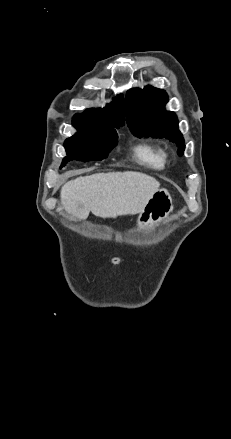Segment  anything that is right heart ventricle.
<instances>
[{
    "mask_svg": "<svg viewBox=\"0 0 231 439\" xmlns=\"http://www.w3.org/2000/svg\"><path fill=\"white\" fill-rule=\"evenodd\" d=\"M133 154L140 163L156 170L163 169L167 162L165 149L152 142L136 143L133 146Z\"/></svg>",
    "mask_w": 231,
    "mask_h": 439,
    "instance_id": "obj_1",
    "label": "right heart ventricle"
}]
</instances>
